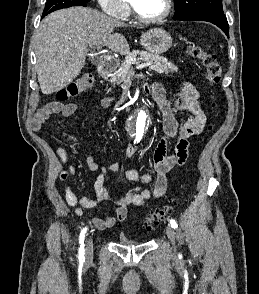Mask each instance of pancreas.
Wrapping results in <instances>:
<instances>
[{"mask_svg":"<svg viewBox=\"0 0 259 294\" xmlns=\"http://www.w3.org/2000/svg\"><path fill=\"white\" fill-rule=\"evenodd\" d=\"M137 56L144 58L145 61L150 64V69L156 71L157 73H165L168 75L169 73H174L178 70V68L165 57L154 55L145 51H132L126 56L120 70L112 75L111 82L114 85L115 83L119 84L123 82L128 75L133 73L132 64H137Z\"/></svg>","mask_w":259,"mask_h":294,"instance_id":"1","label":"pancreas"}]
</instances>
